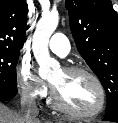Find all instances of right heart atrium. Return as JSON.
Segmentation results:
<instances>
[{
    "label": "right heart atrium",
    "instance_id": "d8ad5b80",
    "mask_svg": "<svg viewBox=\"0 0 118 123\" xmlns=\"http://www.w3.org/2000/svg\"><path fill=\"white\" fill-rule=\"evenodd\" d=\"M17 85L21 95L29 101L41 100L48 95L46 83L28 62L21 63L17 71Z\"/></svg>",
    "mask_w": 118,
    "mask_h": 123
}]
</instances>
